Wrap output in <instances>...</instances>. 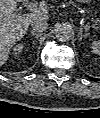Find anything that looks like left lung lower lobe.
<instances>
[{
	"label": "left lung lower lobe",
	"mask_w": 100,
	"mask_h": 118,
	"mask_svg": "<svg viewBox=\"0 0 100 118\" xmlns=\"http://www.w3.org/2000/svg\"><path fill=\"white\" fill-rule=\"evenodd\" d=\"M91 79H92V80H97V79H93L92 77H91Z\"/></svg>",
	"instance_id": "obj_1"
}]
</instances>
